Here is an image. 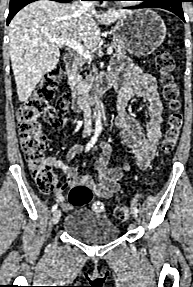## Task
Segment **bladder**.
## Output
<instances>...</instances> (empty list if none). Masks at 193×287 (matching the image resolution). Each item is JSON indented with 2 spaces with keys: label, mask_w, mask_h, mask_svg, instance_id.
<instances>
[{
  "label": "bladder",
  "mask_w": 193,
  "mask_h": 287,
  "mask_svg": "<svg viewBox=\"0 0 193 287\" xmlns=\"http://www.w3.org/2000/svg\"><path fill=\"white\" fill-rule=\"evenodd\" d=\"M63 228L73 238L93 245L113 241L120 235L116 224L106 216L87 208L69 213Z\"/></svg>",
  "instance_id": "bladder-1"
}]
</instances>
